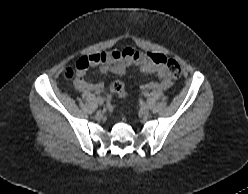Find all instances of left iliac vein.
<instances>
[{
  "mask_svg": "<svg viewBox=\"0 0 248 194\" xmlns=\"http://www.w3.org/2000/svg\"><path fill=\"white\" fill-rule=\"evenodd\" d=\"M149 110H150L149 105L143 104V105L141 106V112H142L143 114H148Z\"/></svg>",
  "mask_w": 248,
  "mask_h": 194,
  "instance_id": "left-iliac-vein-1",
  "label": "left iliac vein"
}]
</instances>
